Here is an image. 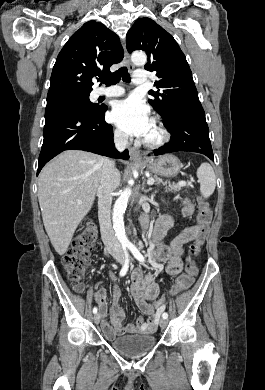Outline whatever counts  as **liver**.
Instances as JSON below:
<instances>
[{"label": "liver", "instance_id": "liver-1", "mask_svg": "<svg viewBox=\"0 0 265 390\" xmlns=\"http://www.w3.org/2000/svg\"><path fill=\"white\" fill-rule=\"evenodd\" d=\"M103 158L67 150L41 171L38 200L45 230L59 255L67 252L75 230L92 208L102 175Z\"/></svg>", "mask_w": 265, "mask_h": 390}]
</instances>
